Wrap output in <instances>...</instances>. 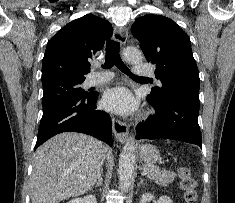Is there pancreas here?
Wrapping results in <instances>:
<instances>
[{"label":"pancreas","instance_id":"cf45deb5","mask_svg":"<svg viewBox=\"0 0 235 203\" xmlns=\"http://www.w3.org/2000/svg\"><path fill=\"white\" fill-rule=\"evenodd\" d=\"M144 169L147 170V177L154 180L157 184L168 185L175 179V174L166 170H160L151 164L144 165Z\"/></svg>","mask_w":235,"mask_h":203}]
</instances>
